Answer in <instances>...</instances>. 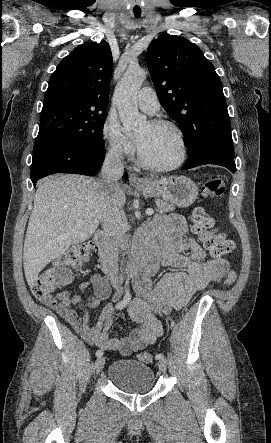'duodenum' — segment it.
Returning <instances> with one entry per match:
<instances>
[{"label":"duodenum","instance_id":"obj_1","mask_svg":"<svg viewBox=\"0 0 271 443\" xmlns=\"http://www.w3.org/2000/svg\"><path fill=\"white\" fill-rule=\"evenodd\" d=\"M94 242L99 250L101 267L104 273L114 276L117 273L116 256L110 241V237L106 233H98L94 238ZM146 264V255L141 253L133 258L127 267L126 273L130 275H140Z\"/></svg>","mask_w":271,"mask_h":443}]
</instances>
